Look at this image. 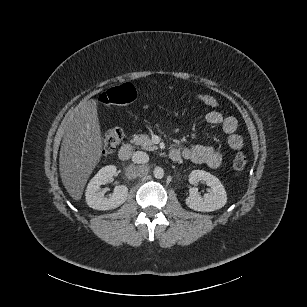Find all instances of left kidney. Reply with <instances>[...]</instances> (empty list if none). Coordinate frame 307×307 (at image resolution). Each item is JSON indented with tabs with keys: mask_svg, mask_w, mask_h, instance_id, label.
Returning <instances> with one entry per match:
<instances>
[{
	"mask_svg": "<svg viewBox=\"0 0 307 307\" xmlns=\"http://www.w3.org/2000/svg\"><path fill=\"white\" fill-rule=\"evenodd\" d=\"M189 181L193 184H204L210 187L213 194H207L202 199L197 188H192L190 194L185 198L188 208L198 212H211L224 207L227 203V195L222 183L215 176L202 170L191 172Z\"/></svg>",
	"mask_w": 307,
	"mask_h": 307,
	"instance_id": "1",
	"label": "left kidney"
}]
</instances>
